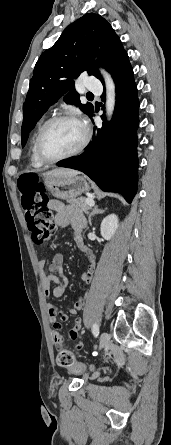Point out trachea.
<instances>
[{"mask_svg": "<svg viewBox=\"0 0 171 445\" xmlns=\"http://www.w3.org/2000/svg\"><path fill=\"white\" fill-rule=\"evenodd\" d=\"M87 97H94V95L92 93H88Z\"/></svg>", "mask_w": 171, "mask_h": 445, "instance_id": "1", "label": "trachea"}]
</instances>
